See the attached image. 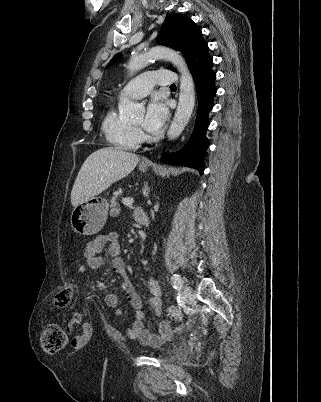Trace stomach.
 <instances>
[{
    "label": "stomach",
    "instance_id": "stomach-1",
    "mask_svg": "<svg viewBox=\"0 0 321 402\" xmlns=\"http://www.w3.org/2000/svg\"><path fill=\"white\" fill-rule=\"evenodd\" d=\"M139 169L145 172L147 166L140 165ZM107 214V200L94 196L74 208L70 218L72 229L78 234L94 235L104 226Z\"/></svg>",
    "mask_w": 321,
    "mask_h": 402
}]
</instances>
